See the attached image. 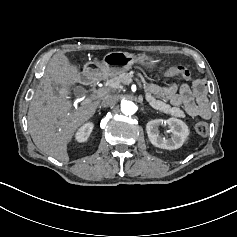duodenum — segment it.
Returning a JSON list of instances; mask_svg holds the SVG:
<instances>
[{
	"label": "duodenum",
	"mask_w": 237,
	"mask_h": 237,
	"mask_svg": "<svg viewBox=\"0 0 237 237\" xmlns=\"http://www.w3.org/2000/svg\"><path fill=\"white\" fill-rule=\"evenodd\" d=\"M100 70L97 67L89 66L80 75V81L85 85H90L98 80Z\"/></svg>",
	"instance_id": "duodenum-1"
}]
</instances>
